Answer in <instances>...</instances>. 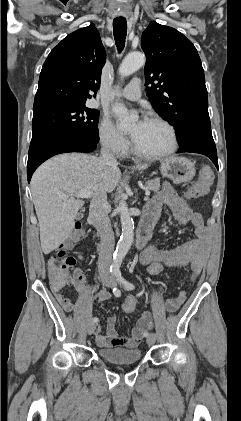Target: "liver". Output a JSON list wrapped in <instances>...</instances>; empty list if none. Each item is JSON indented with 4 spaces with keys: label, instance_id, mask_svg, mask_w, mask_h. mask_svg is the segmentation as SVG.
Wrapping results in <instances>:
<instances>
[{
    "label": "liver",
    "instance_id": "1",
    "mask_svg": "<svg viewBox=\"0 0 241 421\" xmlns=\"http://www.w3.org/2000/svg\"><path fill=\"white\" fill-rule=\"evenodd\" d=\"M147 167L148 164H139L134 168ZM120 178L117 165H104L100 158L83 153L61 154L43 163L30 183L42 251L52 252L72 232L76 215L84 204L74 198L76 192L87 191L95 198L112 192ZM63 194L70 196L64 198Z\"/></svg>",
    "mask_w": 241,
    "mask_h": 421
}]
</instances>
